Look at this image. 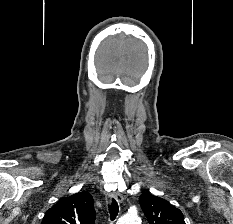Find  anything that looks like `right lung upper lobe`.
I'll return each mask as SVG.
<instances>
[{"instance_id":"1","label":"right lung upper lobe","mask_w":233,"mask_h":224,"mask_svg":"<svg viewBox=\"0 0 233 224\" xmlns=\"http://www.w3.org/2000/svg\"><path fill=\"white\" fill-rule=\"evenodd\" d=\"M94 201L88 192L62 198L46 211L41 224H94Z\"/></svg>"}]
</instances>
